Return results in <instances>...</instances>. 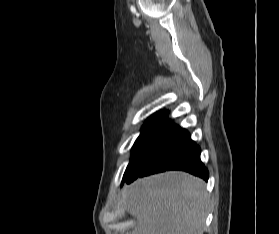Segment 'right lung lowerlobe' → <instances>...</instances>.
I'll list each match as a JSON object with an SVG mask.
<instances>
[{
    "label": "right lung lower lobe",
    "instance_id": "98d812e1",
    "mask_svg": "<svg viewBox=\"0 0 279 234\" xmlns=\"http://www.w3.org/2000/svg\"><path fill=\"white\" fill-rule=\"evenodd\" d=\"M167 170H183L208 180L199 146L185 129L165 118L137 155L124 181L131 183L138 177Z\"/></svg>",
    "mask_w": 279,
    "mask_h": 234
}]
</instances>
